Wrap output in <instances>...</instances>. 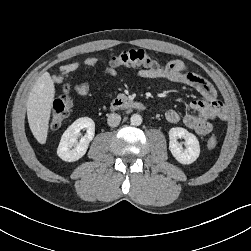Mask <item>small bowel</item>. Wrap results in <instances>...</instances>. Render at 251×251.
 Masks as SVG:
<instances>
[{
    "instance_id": "c3829d8e",
    "label": "small bowel",
    "mask_w": 251,
    "mask_h": 251,
    "mask_svg": "<svg viewBox=\"0 0 251 251\" xmlns=\"http://www.w3.org/2000/svg\"><path fill=\"white\" fill-rule=\"evenodd\" d=\"M97 60L87 58L83 61L85 66H94ZM81 66L79 62H72L63 65L58 74L54 76V82L60 83L64 76L74 72ZM138 76L143 79H167L173 82L182 83L194 88L202 97V100L193 101L190 104V111L181 115L176 110L170 109L165 113V118L170 123H182L189 129L194 130L198 135H208L212 129V122L225 117L224 109L217 98L214 87L203 77L194 73L181 60H171L163 68L151 69L142 68ZM91 83L85 82L75 86L77 94L86 96L91 92Z\"/></svg>"
}]
</instances>
